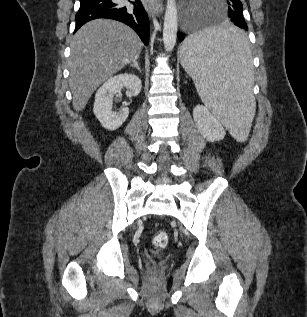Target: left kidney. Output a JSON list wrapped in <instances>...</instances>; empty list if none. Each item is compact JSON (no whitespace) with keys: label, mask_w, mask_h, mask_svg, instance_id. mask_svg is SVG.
<instances>
[{"label":"left kidney","mask_w":307,"mask_h":317,"mask_svg":"<svg viewBox=\"0 0 307 317\" xmlns=\"http://www.w3.org/2000/svg\"><path fill=\"white\" fill-rule=\"evenodd\" d=\"M193 118L198 131L210 141H219L225 137V129L216 117L203 105H197L193 110Z\"/></svg>","instance_id":"1"}]
</instances>
